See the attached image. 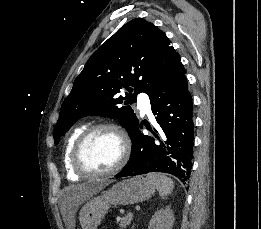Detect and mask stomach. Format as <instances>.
Instances as JSON below:
<instances>
[{
    "instance_id": "stomach-1",
    "label": "stomach",
    "mask_w": 261,
    "mask_h": 229,
    "mask_svg": "<svg viewBox=\"0 0 261 229\" xmlns=\"http://www.w3.org/2000/svg\"><path fill=\"white\" fill-rule=\"evenodd\" d=\"M155 183L144 177L125 179L116 183L101 197H92L80 211V225L82 229H97L104 219L110 205H134L143 203L154 195Z\"/></svg>"
}]
</instances>
